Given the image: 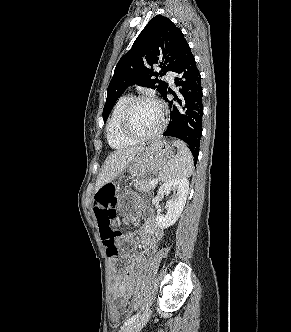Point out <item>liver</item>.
<instances>
[{
  "instance_id": "obj_1",
  "label": "liver",
  "mask_w": 291,
  "mask_h": 332,
  "mask_svg": "<svg viewBox=\"0 0 291 332\" xmlns=\"http://www.w3.org/2000/svg\"><path fill=\"white\" fill-rule=\"evenodd\" d=\"M143 148V146L126 148L110 154L107 157L105 164L98 175L96 182V190H99L105 184L110 183L114 179H116L119 174H121L126 168H128L130 162Z\"/></svg>"
}]
</instances>
